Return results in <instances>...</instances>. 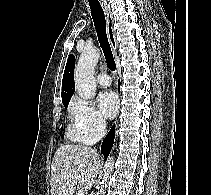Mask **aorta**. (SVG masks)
Masks as SVG:
<instances>
[{"label":"aorta","mask_w":211,"mask_h":195,"mask_svg":"<svg viewBox=\"0 0 211 195\" xmlns=\"http://www.w3.org/2000/svg\"><path fill=\"white\" fill-rule=\"evenodd\" d=\"M99 50L92 49L84 51L77 63L75 69V87L78 95L83 99H91L96 94V82L94 78V70L99 60ZM113 156H110L104 167V174L101 182L99 193L104 194L107 187V181L113 171Z\"/></svg>","instance_id":"762f6f07"}]
</instances>
